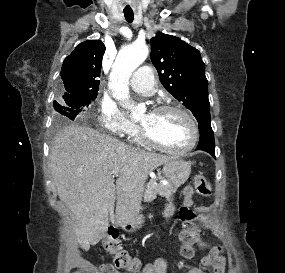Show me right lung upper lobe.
I'll return each instance as SVG.
<instances>
[{
    "mask_svg": "<svg viewBox=\"0 0 285 273\" xmlns=\"http://www.w3.org/2000/svg\"><path fill=\"white\" fill-rule=\"evenodd\" d=\"M105 46L100 40H88L76 46L65 58L61 78L64 96L97 93Z\"/></svg>",
    "mask_w": 285,
    "mask_h": 273,
    "instance_id": "obj_1",
    "label": "right lung upper lobe"
}]
</instances>
